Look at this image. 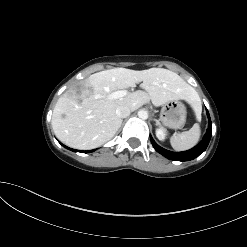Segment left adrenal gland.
<instances>
[{"mask_svg":"<svg viewBox=\"0 0 247 247\" xmlns=\"http://www.w3.org/2000/svg\"><path fill=\"white\" fill-rule=\"evenodd\" d=\"M154 121L156 122V125H159V126L161 125L160 122H159V120L154 119Z\"/></svg>","mask_w":247,"mask_h":247,"instance_id":"1","label":"left adrenal gland"}]
</instances>
